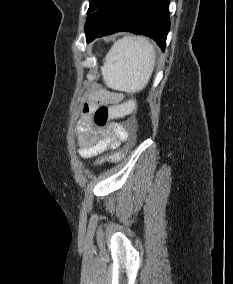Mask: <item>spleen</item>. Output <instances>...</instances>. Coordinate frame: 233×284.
I'll return each mask as SVG.
<instances>
[{"label":"spleen","instance_id":"obj_1","mask_svg":"<svg viewBox=\"0 0 233 284\" xmlns=\"http://www.w3.org/2000/svg\"><path fill=\"white\" fill-rule=\"evenodd\" d=\"M155 67V50L145 38L126 36L111 47L101 72L114 90L135 93L148 83Z\"/></svg>","mask_w":233,"mask_h":284}]
</instances>
